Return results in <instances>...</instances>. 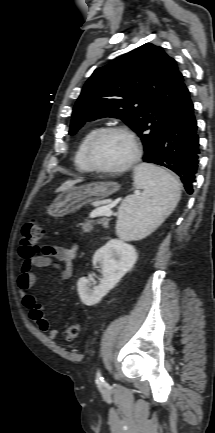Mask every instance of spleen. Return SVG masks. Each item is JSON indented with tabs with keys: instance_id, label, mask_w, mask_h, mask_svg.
<instances>
[{
	"instance_id": "3e777b00",
	"label": "spleen",
	"mask_w": 215,
	"mask_h": 433,
	"mask_svg": "<svg viewBox=\"0 0 215 433\" xmlns=\"http://www.w3.org/2000/svg\"><path fill=\"white\" fill-rule=\"evenodd\" d=\"M133 180L134 187L143 192L127 196L119 207L116 233L124 240H138L152 233L173 212L181 196L179 182L155 165L135 167Z\"/></svg>"
}]
</instances>
